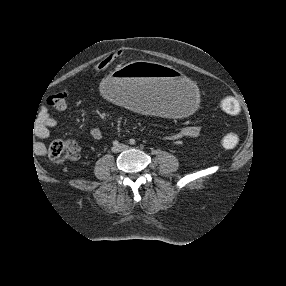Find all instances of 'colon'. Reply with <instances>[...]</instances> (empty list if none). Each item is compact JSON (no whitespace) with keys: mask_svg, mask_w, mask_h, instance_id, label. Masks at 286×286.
<instances>
[{"mask_svg":"<svg viewBox=\"0 0 286 286\" xmlns=\"http://www.w3.org/2000/svg\"><path fill=\"white\" fill-rule=\"evenodd\" d=\"M116 58L114 56H108L102 60L97 66L99 72H106L112 68L115 64ZM68 100V92L61 90L51 95L47 103L50 107L56 110H62L66 107ZM221 110L229 115L237 116L241 112V105L237 99L233 97H225L220 101ZM240 143V137L236 132L230 131L225 133L221 138V145L225 149H234ZM70 151L66 144L60 141L52 142L48 148V156L55 162H62L67 159L70 155Z\"/></svg>","mask_w":286,"mask_h":286,"instance_id":"5ec220e1","label":"colon"}]
</instances>
